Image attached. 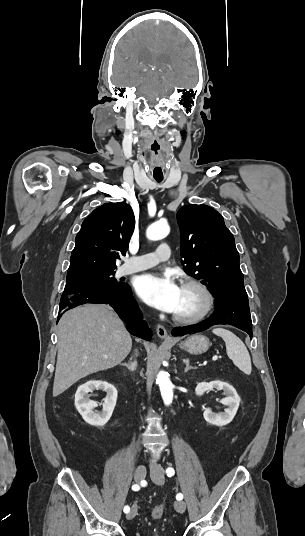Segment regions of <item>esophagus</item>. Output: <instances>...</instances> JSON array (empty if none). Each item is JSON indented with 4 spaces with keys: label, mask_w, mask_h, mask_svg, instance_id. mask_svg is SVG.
<instances>
[{
    "label": "esophagus",
    "mask_w": 305,
    "mask_h": 536,
    "mask_svg": "<svg viewBox=\"0 0 305 536\" xmlns=\"http://www.w3.org/2000/svg\"><path fill=\"white\" fill-rule=\"evenodd\" d=\"M156 332H157V335L159 336V338H162V339H164L166 341H172V338L168 336L167 331L164 328V326L158 324L157 327H156Z\"/></svg>",
    "instance_id": "34e87169"
}]
</instances>
